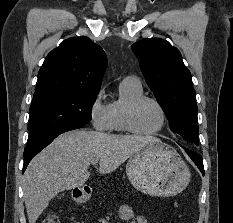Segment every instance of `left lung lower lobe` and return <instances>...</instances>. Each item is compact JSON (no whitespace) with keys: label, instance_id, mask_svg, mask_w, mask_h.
I'll use <instances>...</instances> for the list:
<instances>
[{"label":"left lung lower lobe","instance_id":"obj_1","mask_svg":"<svg viewBox=\"0 0 233 223\" xmlns=\"http://www.w3.org/2000/svg\"><path fill=\"white\" fill-rule=\"evenodd\" d=\"M189 157L195 162L201 173L204 175V166H203V159L199 154H196L186 148H184Z\"/></svg>","mask_w":233,"mask_h":223}]
</instances>
